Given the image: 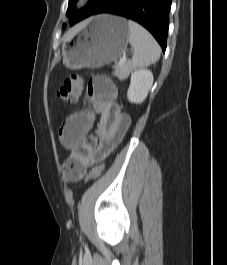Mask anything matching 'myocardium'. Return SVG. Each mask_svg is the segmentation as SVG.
Wrapping results in <instances>:
<instances>
[{"label": "myocardium", "mask_w": 227, "mask_h": 265, "mask_svg": "<svg viewBox=\"0 0 227 265\" xmlns=\"http://www.w3.org/2000/svg\"><path fill=\"white\" fill-rule=\"evenodd\" d=\"M90 2H91V0H76V1H75V5H76L77 8H84V7H86Z\"/></svg>", "instance_id": "f54148a6"}]
</instances>
